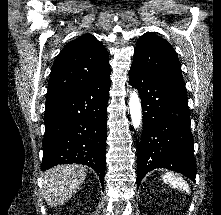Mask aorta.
Wrapping results in <instances>:
<instances>
[{
	"instance_id": "762f6f07",
	"label": "aorta",
	"mask_w": 221,
	"mask_h": 215,
	"mask_svg": "<svg viewBox=\"0 0 221 215\" xmlns=\"http://www.w3.org/2000/svg\"><path fill=\"white\" fill-rule=\"evenodd\" d=\"M129 111L132 120V125L135 129L139 128L142 124V109L141 102L136 90L130 92L129 98Z\"/></svg>"
}]
</instances>
